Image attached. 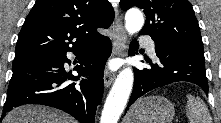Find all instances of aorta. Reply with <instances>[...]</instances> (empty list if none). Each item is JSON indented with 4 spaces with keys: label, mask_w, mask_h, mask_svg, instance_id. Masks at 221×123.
<instances>
[{
    "label": "aorta",
    "mask_w": 221,
    "mask_h": 123,
    "mask_svg": "<svg viewBox=\"0 0 221 123\" xmlns=\"http://www.w3.org/2000/svg\"><path fill=\"white\" fill-rule=\"evenodd\" d=\"M144 25L143 14L138 9H130L125 15V28L129 34L141 30ZM134 81L131 68H124L117 76L106 99L100 123H117L129 99Z\"/></svg>",
    "instance_id": "obj_1"
}]
</instances>
